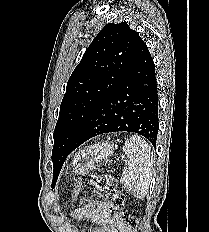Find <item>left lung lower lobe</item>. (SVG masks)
I'll return each instance as SVG.
<instances>
[{
    "instance_id": "1",
    "label": "left lung lower lobe",
    "mask_w": 209,
    "mask_h": 232,
    "mask_svg": "<svg viewBox=\"0 0 209 232\" xmlns=\"http://www.w3.org/2000/svg\"><path fill=\"white\" fill-rule=\"evenodd\" d=\"M158 113L154 62L141 39L126 74L78 130L70 151L97 135L119 131L140 134L155 148Z\"/></svg>"
}]
</instances>
